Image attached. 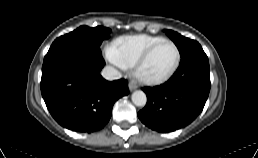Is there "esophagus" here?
I'll list each match as a JSON object with an SVG mask.
<instances>
[{
	"label": "esophagus",
	"mask_w": 258,
	"mask_h": 158,
	"mask_svg": "<svg viewBox=\"0 0 258 158\" xmlns=\"http://www.w3.org/2000/svg\"><path fill=\"white\" fill-rule=\"evenodd\" d=\"M128 87H129L130 91H133V90H135L138 87V84H137V82L135 80H131L129 82Z\"/></svg>",
	"instance_id": "34e87169"
}]
</instances>
